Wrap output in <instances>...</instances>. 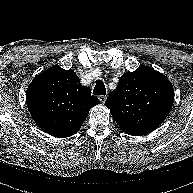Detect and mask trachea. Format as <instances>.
<instances>
[{
	"label": "trachea",
	"instance_id": "obj_1",
	"mask_svg": "<svg viewBox=\"0 0 193 193\" xmlns=\"http://www.w3.org/2000/svg\"><path fill=\"white\" fill-rule=\"evenodd\" d=\"M93 94L95 95H105L106 94V87L102 80L96 81V84L93 90Z\"/></svg>",
	"mask_w": 193,
	"mask_h": 193
}]
</instances>
